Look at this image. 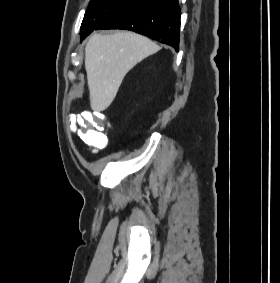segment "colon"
Listing matches in <instances>:
<instances>
[{"mask_svg": "<svg viewBox=\"0 0 280 283\" xmlns=\"http://www.w3.org/2000/svg\"><path fill=\"white\" fill-rule=\"evenodd\" d=\"M105 114H99V110H86L81 114L72 116L75 126H78L76 135L87 147L94 150H101L106 147L108 139L106 128L108 122H103Z\"/></svg>", "mask_w": 280, "mask_h": 283, "instance_id": "1", "label": "colon"}]
</instances>
